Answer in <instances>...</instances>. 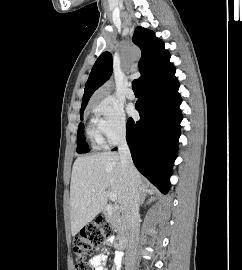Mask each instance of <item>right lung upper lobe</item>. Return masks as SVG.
Returning <instances> with one entry per match:
<instances>
[{"label":"right lung upper lobe","instance_id":"obj_1","mask_svg":"<svg viewBox=\"0 0 242 270\" xmlns=\"http://www.w3.org/2000/svg\"><path fill=\"white\" fill-rule=\"evenodd\" d=\"M133 42L141 49L142 57L138 63L141 85L152 74L161 69L170 59L164 43L155 34L143 27H137ZM112 56L109 52L102 53L96 60L85 85L82 106L85 108L93 92L99 88L112 74Z\"/></svg>","mask_w":242,"mask_h":270}]
</instances>
